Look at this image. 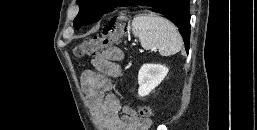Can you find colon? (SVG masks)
I'll return each instance as SVG.
<instances>
[{"label": "colon", "instance_id": "obj_1", "mask_svg": "<svg viewBox=\"0 0 257 130\" xmlns=\"http://www.w3.org/2000/svg\"><path fill=\"white\" fill-rule=\"evenodd\" d=\"M123 32L124 24L122 19L113 18L102 32L79 43L74 49V55L78 58L93 56L111 43L119 40ZM139 114L143 119L150 120L153 116V111L147 106H141Z\"/></svg>", "mask_w": 257, "mask_h": 130}]
</instances>
